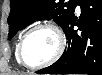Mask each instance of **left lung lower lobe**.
I'll return each mask as SVG.
<instances>
[{"label": "left lung lower lobe", "instance_id": "obj_1", "mask_svg": "<svg viewBox=\"0 0 102 75\" xmlns=\"http://www.w3.org/2000/svg\"><path fill=\"white\" fill-rule=\"evenodd\" d=\"M78 5L79 20L73 13L63 26L68 40L63 55L36 73L102 75V0H80ZM75 25L79 32L73 29Z\"/></svg>", "mask_w": 102, "mask_h": 75}]
</instances>
